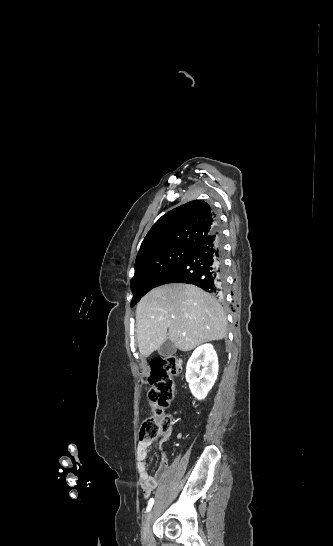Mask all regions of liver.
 Wrapping results in <instances>:
<instances>
[{
	"label": "liver",
	"instance_id": "6515ba94",
	"mask_svg": "<svg viewBox=\"0 0 333 546\" xmlns=\"http://www.w3.org/2000/svg\"><path fill=\"white\" fill-rule=\"evenodd\" d=\"M141 354L149 357L167 340L181 351L224 339L227 318L209 293L184 283H170L147 293L136 308Z\"/></svg>",
	"mask_w": 333,
	"mask_h": 546
}]
</instances>
